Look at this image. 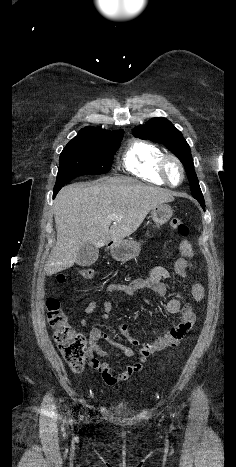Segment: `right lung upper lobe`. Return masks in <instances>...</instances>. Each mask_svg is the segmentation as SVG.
Returning a JSON list of instances; mask_svg holds the SVG:
<instances>
[{"label":"right lung upper lobe","mask_w":236,"mask_h":467,"mask_svg":"<svg viewBox=\"0 0 236 467\" xmlns=\"http://www.w3.org/2000/svg\"><path fill=\"white\" fill-rule=\"evenodd\" d=\"M122 133H123L122 130L108 131V130L99 129V128H95V127H86L84 129H82L78 133V135H93V134L115 135V134H122Z\"/></svg>","instance_id":"cb5924a9"}]
</instances>
